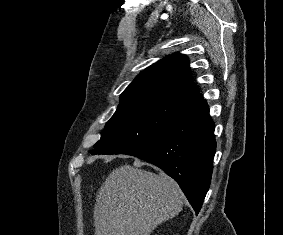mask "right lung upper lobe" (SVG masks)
Segmentation results:
<instances>
[{
  "mask_svg": "<svg viewBox=\"0 0 283 235\" xmlns=\"http://www.w3.org/2000/svg\"><path fill=\"white\" fill-rule=\"evenodd\" d=\"M200 98L191 81L188 59L176 53L141 72L121 94L120 102L172 101L189 105Z\"/></svg>",
  "mask_w": 283,
  "mask_h": 235,
  "instance_id": "cb5924a9",
  "label": "right lung upper lobe"
}]
</instances>
